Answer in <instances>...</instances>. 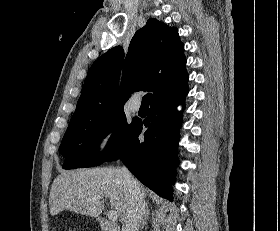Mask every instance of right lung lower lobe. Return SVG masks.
<instances>
[{
	"label": "right lung lower lobe",
	"instance_id": "obj_1",
	"mask_svg": "<svg viewBox=\"0 0 280 231\" xmlns=\"http://www.w3.org/2000/svg\"><path fill=\"white\" fill-rule=\"evenodd\" d=\"M187 94L188 86L185 85L153 100L149 114L143 121L144 126L148 127L144 141L138 139L142 124L133 123L118 153L108 159L120 158L145 186L169 200H172L175 167L179 164L177 146L182 114L177 107L184 106Z\"/></svg>",
	"mask_w": 280,
	"mask_h": 231
}]
</instances>
